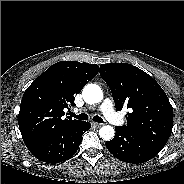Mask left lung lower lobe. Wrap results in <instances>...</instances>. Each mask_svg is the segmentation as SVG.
Listing matches in <instances>:
<instances>
[{
  "instance_id": "left-lung-lower-lobe-1",
  "label": "left lung lower lobe",
  "mask_w": 184,
  "mask_h": 184,
  "mask_svg": "<svg viewBox=\"0 0 184 184\" xmlns=\"http://www.w3.org/2000/svg\"><path fill=\"white\" fill-rule=\"evenodd\" d=\"M115 128V137L106 142V147L117 159L139 164L152 159L161 151V148L122 126Z\"/></svg>"
}]
</instances>
